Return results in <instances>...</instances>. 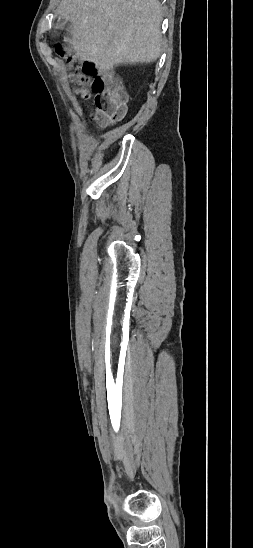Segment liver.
<instances>
[{"instance_id": "6515ba94", "label": "liver", "mask_w": 253, "mask_h": 548, "mask_svg": "<svg viewBox=\"0 0 253 548\" xmlns=\"http://www.w3.org/2000/svg\"><path fill=\"white\" fill-rule=\"evenodd\" d=\"M57 13L70 21L65 41L76 57L100 71L123 63H149L161 55L158 0H61Z\"/></svg>"}]
</instances>
